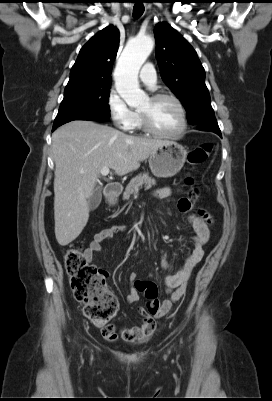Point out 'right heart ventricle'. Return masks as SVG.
Returning <instances> with one entry per match:
<instances>
[{"label": "right heart ventricle", "mask_w": 272, "mask_h": 401, "mask_svg": "<svg viewBox=\"0 0 272 401\" xmlns=\"http://www.w3.org/2000/svg\"><path fill=\"white\" fill-rule=\"evenodd\" d=\"M131 129H141V121H140V116H139L138 112H136L134 123H133Z\"/></svg>", "instance_id": "right-heart-ventricle-1"}]
</instances>
